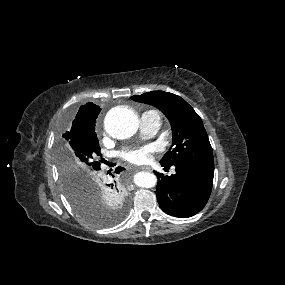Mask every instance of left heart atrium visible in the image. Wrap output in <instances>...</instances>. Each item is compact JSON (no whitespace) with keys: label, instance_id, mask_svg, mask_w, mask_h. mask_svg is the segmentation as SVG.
<instances>
[{"label":"left heart atrium","instance_id":"left-heart-atrium-1","mask_svg":"<svg viewBox=\"0 0 285 285\" xmlns=\"http://www.w3.org/2000/svg\"><path fill=\"white\" fill-rule=\"evenodd\" d=\"M154 151L153 146L144 145L139 147H128L120 151V156L132 164H144L150 159V154Z\"/></svg>","mask_w":285,"mask_h":285}]
</instances>
